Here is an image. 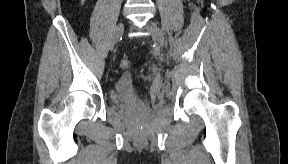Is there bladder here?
<instances>
[{
	"instance_id": "1",
	"label": "bladder",
	"mask_w": 288,
	"mask_h": 164,
	"mask_svg": "<svg viewBox=\"0 0 288 164\" xmlns=\"http://www.w3.org/2000/svg\"><path fill=\"white\" fill-rule=\"evenodd\" d=\"M111 95L116 104L135 105L141 101L129 73H122L116 79Z\"/></svg>"
}]
</instances>
